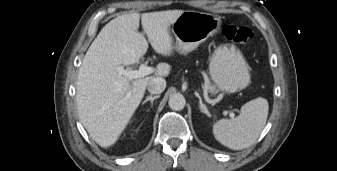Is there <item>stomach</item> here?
<instances>
[{
    "label": "stomach",
    "mask_w": 337,
    "mask_h": 171,
    "mask_svg": "<svg viewBox=\"0 0 337 171\" xmlns=\"http://www.w3.org/2000/svg\"><path fill=\"white\" fill-rule=\"evenodd\" d=\"M221 19L210 13L184 11L172 24L176 49L187 54L218 32ZM209 74L216 87L226 93L246 88L250 83L249 66L234 45L218 47L209 63Z\"/></svg>",
    "instance_id": "1"
}]
</instances>
